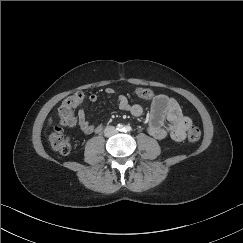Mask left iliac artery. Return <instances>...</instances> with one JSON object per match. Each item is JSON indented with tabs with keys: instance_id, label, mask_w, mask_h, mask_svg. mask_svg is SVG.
<instances>
[{
	"instance_id": "left-iliac-artery-1",
	"label": "left iliac artery",
	"mask_w": 243,
	"mask_h": 243,
	"mask_svg": "<svg viewBox=\"0 0 243 243\" xmlns=\"http://www.w3.org/2000/svg\"><path fill=\"white\" fill-rule=\"evenodd\" d=\"M132 130V128L130 127V126H125V128H124V131L125 132H130Z\"/></svg>"
}]
</instances>
